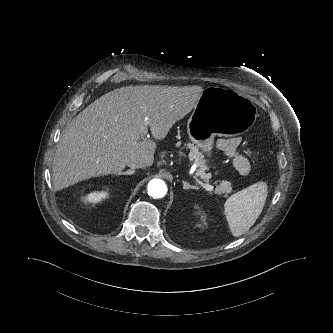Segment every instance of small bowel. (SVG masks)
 <instances>
[{
    "label": "small bowel",
    "instance_id": "c3829d8e",
    "mask_svg": "<svg viewBox=\"0 0 333 333\" xmlns=\"http://www.w3.org/2000/svg\"><path fill=\"white\" fill-rule=\"evenodd\" d=\"M241 140L237 137L219 139L216 143L217 150L229 160L233 169L242 176L250 172L248 159L240 152Z\"/></svg>",
    "mask_w": 333,
    "mask_h": 333
}]
</instances>
